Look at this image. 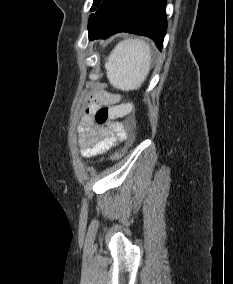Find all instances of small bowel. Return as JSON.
I'll use <instances>...</instances> for the list:
<instances>
[{
  "label": "small bowel",
  "instance_id": "c3829d8e",
  "mask_svg": "<svg viewBox=\"0 0 233 284\" xmlns=\"http://www.w3.org/2000/svg\"><path fill=\"white\" fill-rule=\"evenodd\" d=\"M119 97L114 94L96 93L86 107L80 126L79 146L81 155L89 158L102 154L114 148L132 133V119L126 118L123 122H110L107 126H98L94 123L92 113L96 105L116 106Z\"/></svg>",
  "mask_w": 233,
  "mask_h": 284
}]
</instances>
